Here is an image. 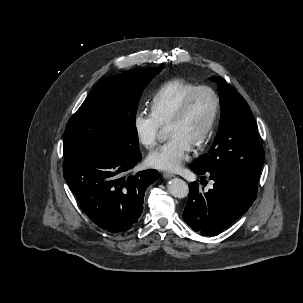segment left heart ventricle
<instances>
[{"instance_id": "b2bd125f", "label": "left heart ventricle", "mask_w": 303, "mask_h": 303, "mask_svg": "<svg viewBox=\"0 0 303 303\" xmlns=\"http://www.w3.org/2000/svg\"><path fill=\"white\" fill-rule=\"evenodd\" d=\"M213 110L212 95L207 91L198 92L192 99L185 116L167 126L168 134H179L194 145L205 131Z\"/></svg>"}]
</instances>
